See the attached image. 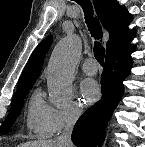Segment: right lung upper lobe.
I'll return each mask as SVG.
<instances>
[{"instance_id":"obj_1","label":"right lung upper lobe","mask_w":145,"mask_h":147,"mask_svg":"<svg viewBox=\"0 0 145 147\" xmlns=\"http://www.w3.org/2000/svg\"><path fill=\"white\" fill-rule=\"evenodd\" d=\"M96 13L109 32L110 39L107 42V50L129 32L128 25L132 16L125 7L119 5L117 0H93ZM52 44V36L44 39L33 51L23 73L18 81L17 89L33 86L39 77L43 59Z\"/></svg>"}]
</instances>
